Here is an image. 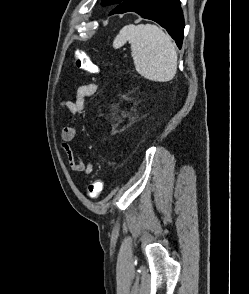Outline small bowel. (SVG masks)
<instances>
[{"label":"small bowel","mask_w":249,"mask_h":294,"mask_svg":"<svg viewBox=\"0 0 249 294\" xmlns=\"http://www.w3.org/2000/svg\"><path fill=\"white\" fill-rule=\"evenodd\" d=\"M97 89L98 85L96 83H90L78 87L75 100L62 101L59 105V109H67L70 113L71 121L75 123L84 111L86 98L93 96ZM76 136L77 130L74 126L64 127L60 132V139L62 141L61 148L67 158L71 170L83 173L87 176L93 171L92 162L84 160L77 149L69 145V142L75 141Z\"/></svg>","instance_id":"obj_1"}]
</instances>
